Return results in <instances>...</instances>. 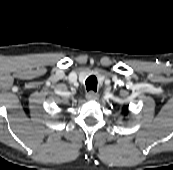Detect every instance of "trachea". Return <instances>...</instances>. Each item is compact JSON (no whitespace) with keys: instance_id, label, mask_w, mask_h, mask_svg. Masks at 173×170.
Listing matches in <instances>:
<instances>
[{"instance_id":"1","label":"trachea","mask_w":173,"mask_h":170,"mask_svg":"<svg viewBox=\"0 0 173 170\" xmlns=\"http://www.w3.org/2000/svg\"><path fill=\"white\" fill-rule=\"evenodd\" d=\"M85 85H86L87 91H91V90L96 91L97 90V78H96V76H94V75L89 76L86 79Z\"/></svg>"}]
</instances>
